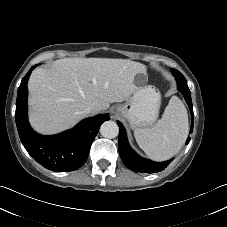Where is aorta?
Here are the masks:
<instances>
[{"label":"aorta","mask_w":227,"mask_h":227,"mask_svg":"<svg viewBox=\"0 0 227 227\" xmlns=\"http://www.w3.org/2000/svg\"><path fill=\"white\" fill-rule=\"evenodd\" d=\"M100 133L105 138L113 139L119 133L118 125L114 121H106L101 125Z\"/></svg>","instance_id":"1"}]
</instances>
